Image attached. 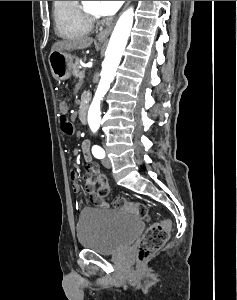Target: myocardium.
<instances>
[{
    "label": "myocardium",
    "mask_w": 237,
    "mask_h": 300,
    "mask_svg": "<svg viewBox=\"0 0 237 300\" xmlns=\"http://www.w3.org/2000/svg\"><path fill=\"white\" fill-rule=\"evenodd\" d=\"M79 7L84 17L91 23H97L102 20V15L92 12L83 3L79 2Z\"/></svg>",
    "instance_id": "myocardium-1"
}]
</instances>
